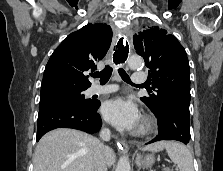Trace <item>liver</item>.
<instances>
[{
    "instance_id": "6515ba94",
    "label": "liver",
    "mask_w": 223,
    "mask_h": 171,
    "mask_svg": "<svg viewBox=\"0 0 223 171\" xmlns=\"http://www.w3.org/2000/svg\"><path fill=\"white\" fill-rule=\"evenodd\" d=\"M99 140L69 128H58L45 134L38 142L33 156V171H92L94 155ZM164 145L155 143L143 150L159 152ZM107 166H112L116 156L112 148L105 150Z\"/></svg>"
}]
</instances>
